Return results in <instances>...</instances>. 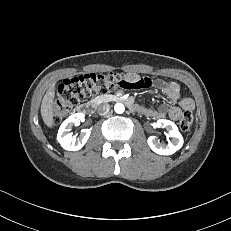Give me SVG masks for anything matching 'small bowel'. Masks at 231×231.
Segmentation results:
<instances>
[{"mask_svg": "<svg viewBox=\"0 0 231 231\" xmlns=\"http://www.w3.org/2000/svg\"><path fill=\"white\" fill-rule=\"evenodd\" d=\"M130 81H136L141 77L135 73H129L126 75ZM156 87L164 91L172 106L166 107L164 105L158 108H146L139 106V112L146 114L147 116L154 118H163L168 115L172 120H178L182 113L191 112L194 109V102L191 98H181V88L176 82H163L157 80Z\"/></svg>", "mask_w": 231, "mask_h": 231, "instance_id": "c3829d8e", "label": "small bowel"}]
</instances>
